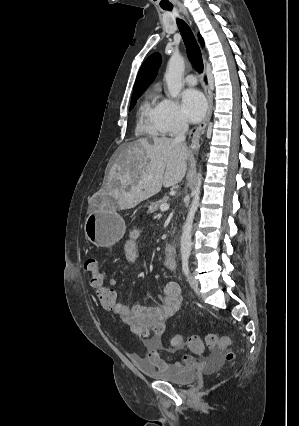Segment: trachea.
Here are the masks:
<instances>
[{
	"mask_svg": "<svg viewBox=\"0 0 299 426\" xmlns=\"http://www.w3.org/2000/svg\"><path fill=\"white\" fill-rule=\"evenodd\" d=\"M165 10L171 11L172 8ZM177 25L181 33L182 39L187 49V53L190 61L194 65L197 71L200 73L203 71V61L201 56L200 48L196 42L194 34L190 27L181 19H177Z\"/></svg>",
	"mask_w": 299,
	"mask_h": 426,
	"instance_id": "3493384b",
	"label": "trachea"
}]
</instances>
